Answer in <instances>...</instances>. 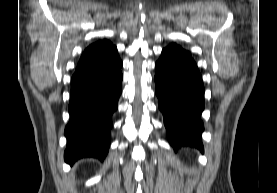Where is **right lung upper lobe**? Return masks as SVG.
Here are the masks:
<instances>
[{
	"label": "right lung upper lobe",
	"instance_id": "right-lung-upper-lobe-1",
	"mask_svg": "<svg viewBox=\"0 0 277 193\" xmlns=\"http://www.w3.org/2000/svg\"><path fill=\"white\" fill-rule=\"evenodd\" d=\"M112 49H114V46L108 40L93 43L84 51L78 65L97 60L106 55Z\"/></svg>",
	"mask_w": 277,
	"mask_h": 193
}]
</instances>
